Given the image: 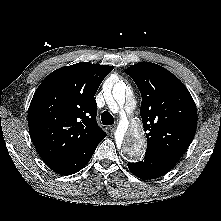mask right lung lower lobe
Wrapping results in <instances>:
<instances>
[{
  "label": "right lung lower lobe",
  "mask_w": 221,
  "mask_h": 221,
  "mask_svg": "<svg viewBox=\"0 0 221 221\" xmlns=\"http://www.w3.org/2000/svg\"><path fill=\"white\" fill-rule=\"evenodd\" d=\"M101 140L91 143L77 153L49 167L61 175H71L78 172L90 161L97 145Z\"/></svg>",
  "instance_id": "1"
}]
</instances>
